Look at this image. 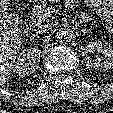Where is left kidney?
<instances>
[{"label": "left kidney", "mask_w": 113, "mask_h": 113, "mask_svg": "<svg viewBox=\"0 0 113 113\" xmlns=\"http://www.w3.org/2000/svg\"><path fill=\"white\" fill-rule=\"evenodd\" d=\"M83 61L87 67L96 71L113 69V46L107 42L91 41L81 46ZM97 51L102 57L92 58L91 54Z\"/></svg>", "instance_id": "5707ae66"}]
</instances>
